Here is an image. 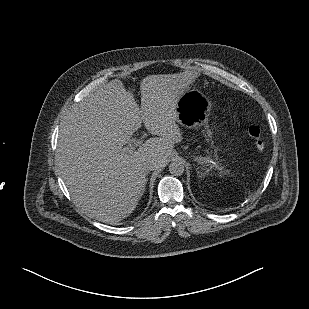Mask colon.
<instances>
[{
	"instance_id": "obj_1",
	"label": "colon",
	"mask_w": 309,
	"mask_h": 309,
	"mask_svg": "<svg viewBox=\"0 0 309 309\" xmlns=\"http://www.w3.org/2000/svg\"><path fill=\"white\" fill-rule=\"evenodd\" d=\"M248 135L250 136L251 139H253L255 146L258 149L263 148L264 143L261 138V132L260 129L256 126H251L248 130Z\"/></svg>"
}]
</instances>
